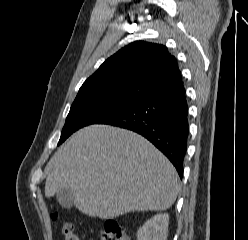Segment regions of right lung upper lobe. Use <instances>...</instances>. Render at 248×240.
Returning <instances> with one entry per match:
<instances>
[{
    "label": "right lung upper lobe",
    "mask_w": 248,
    "mask_h": 240,
    "mask_svg": "<svg viewBox=\"0 0 248 240\" xmlns=\"http://www.w3.org/2000/svg\"><path fill=\"white\" fill-rule=\"evenodd\" d=\"M183 84L177 60L163 45L136 41L108 58L80 89H113L144 98Z\"/></svg>",
    "instance_id": "1"
}]
</instances>
